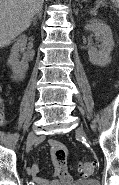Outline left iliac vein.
Here are the masks:
<instances>
[{"mask_svg":"<svg viewBox=\"0 0 119 185\" xmlns=\"http://www.w3.org/2000/svg\"><path fill=\"white\" fill-rule=\"evenodd\" d=\"M77 132H78V133H81L82 135H86L85 132H84V130H83L82 128H79V129L77 130Z\"/></svg>","mask_w":119,"mask_h":185,"instance_id":"1","label":"left iliac vein"}]
</instances>
